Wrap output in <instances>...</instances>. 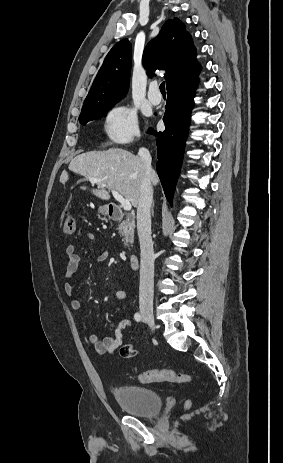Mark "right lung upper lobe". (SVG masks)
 <instances>
[{
	"label": "right lung upper lobe",
	"mask_w": 283,
	"mask_h": 463,
	"mask_svg": "<svg viewBox=\"0 0 283 463\" xmlns=\"http://www.w3.org/2000/svg\"><path fill=\"white\" fill-rule=\"evenodd\" d=\"M131 52V43L127 39L114 45L98 71L83 106L121 98L127 93ZM143 63L149 70H166L167 88L197 78L201 70L192 37L178 18L167 20L158 36L147 44Z\"/></svg>",
	"instance_id": "right-lung-upper-lobe-1"
}]
</instances>
